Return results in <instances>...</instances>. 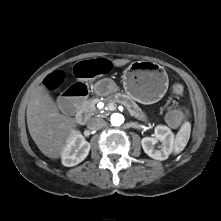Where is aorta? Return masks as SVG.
<instances>
[{"label":"aorta","mask_w":221,"mask_h":221,"mask_svg":"<svg viewBox=\"0 0 221 221\" xmlns=\"http://www.w3.org/2000/svg\"><path fill=\"white\" fill-rule=\"evenodd\" d=\"M110 121L113 126H120L124 123V116L120 113H113Z\"/></svg>","instance_id":"aorta-1"}]
</instances>
